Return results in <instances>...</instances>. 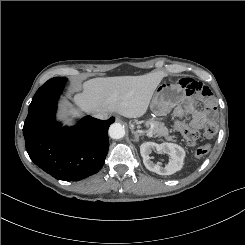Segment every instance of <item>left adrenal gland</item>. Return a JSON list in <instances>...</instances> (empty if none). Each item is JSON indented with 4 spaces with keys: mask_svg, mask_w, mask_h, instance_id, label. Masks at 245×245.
Listing matches in <instances>:
<instances>
[{
    "mask_svg": "<svg viewBox=\"0 0 245 245\" xmlns=\"http://www.w3.org/2000/svg\"><path fill=\"white\" fill-rule=\"evenodd\" d=\"M132 134H134V141L138 142L139 141V137L142 136V134L137 133L135 131L132 130Z\"/></svg>",
    "mask_w": 245,
    "mask_h": 245,
    "instance_id": "left-adrenal-gland-1",
    "label": "left adrenal gland"
}]
</instances>
